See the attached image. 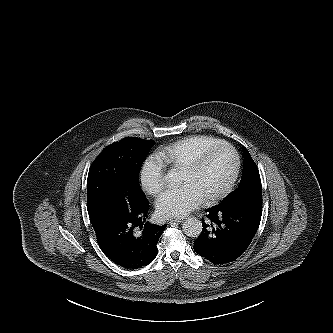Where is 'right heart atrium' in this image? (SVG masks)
<instances>
[{"label": "right heart atrium", "instance_id": "obj_1", "mask_svg": "<svg viewBox=\"0 0 333 333\" xmlns=\"http://www.w3.org/2000/svg\"><path fill=\"white\" fill-rule=\"evenodd\" d=\"M166 163L157 153L150 154L143 161L139 180L143 190L150 195L159 194L165 186Z\"/></svg>", "mask_w": 333, "mask_h": 333}]
</instances>
